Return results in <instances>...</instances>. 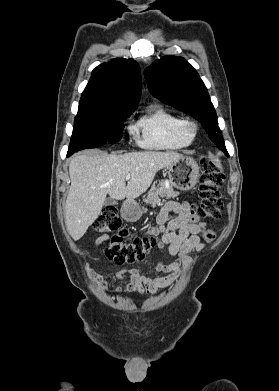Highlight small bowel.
<instances>
[{
  "mask_svg": "<svg viewBox=\"0 0 279 391\" xmlns=\"http://www.w3.org/2000/svg\"><path fill=\"white\" fill-rule=\"evenodd\" d=\"M170 213L177 214V217L168 221ZM157 226L148 230L152 236H160L158 245L163 248L167 245V253L176 257L169 263L159 262L156 272H162L163 277H149L140 269H123L117 273L120 280H127L128 283L123 291L127 294L140 293L141 295H154L159 288L171 286L178 278L182 268L191 263L189 256L192 252L201 251L204 244L200 235L208 231L203 223L192 220L191 208L188 202H167L157 217ZM108 236L99 237L95 244L100 245L108 240Z\"/></svg>",
  "mask_w": 279,
  "mask_h": 391,
  "instance_id": "obj_1",
  "label": "small bowel"
}]
</instances>
